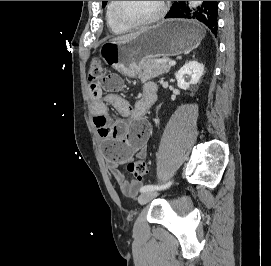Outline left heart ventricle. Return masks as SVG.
I'll return each mask as SVG.
<instances>
[{"instance_id":"obj_1","label":"left heart ventricle","mask_w":271,"mask_h":266,"mask_svg":"<svg viewBox=\"0 0 271 266\" xmlns=\"http://www.w3.org/2000/svg\"><path fill=\"white\" fill-rule=\"evenodd\" d=\"M160 1H120L119 11L129 20L141 21L154 15Z\"/></svg>"}]
</instances>
